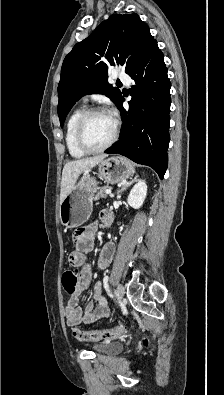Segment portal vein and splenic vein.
I'll return each mask as SVG.
<instances>
[{"label":"portal vein and splenic vein","mask_w":224,"mask_h":395,"mask_svg":"<svg viewBox=\"0 0 224 395\" xmlns=\"http://www.w3.org/2000/svg\"><path fill=\"white\" fill-rule=\"evenodd\" d=\"M111 193H112V192H111V189H107V190H106V194L111 195Z\"/></svg>","instance_id":"18ae733b"}]
</instances>
